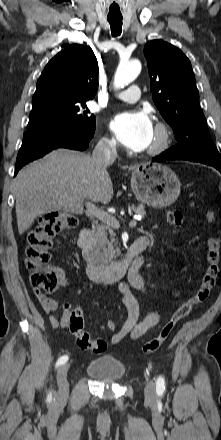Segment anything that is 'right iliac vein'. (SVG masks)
Masks as SVG:
<instances>
[{
  "label": "right iliac vein",
  "instance_id": "right-iliac-vein-1",
  "mask_svg": "<svg viewBox=\"0 0 221 440\" xmlns=\"http://www.w3.org/2000/svg\"><path fill=\"white\" fill-rule=\"evenodd\" d=\"M68 370L69 364H64L60 366L57 371V384L59 387V396L61 398H67L69 394V384L67 381Z\"/></svg>",
  "mask_w": 221,
  "mask_h": 440
}]
</instances>
